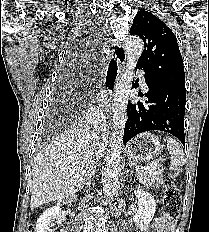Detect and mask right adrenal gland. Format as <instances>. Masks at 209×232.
<instances>
[{
    "label": "right adrenal gland",
    "instance_id": "2a0ac1e0",
    "mask_svg": "<svg viewBox=\"0 0 209 232\" xmlns=\"http://www.w3.org/2000/svg\"><path fill=\"white\" fill-rule=\"evenodd\" d=\"M92 175H94V172H91L87 177H86V180L84 181L83 183V186L80 188V191L81 189H83V187L86 185L87 187H89L91 185V178H92Z\"/></svg>",
    "mask_w": 209,
    "mask_h": 232
}]
</instances>
